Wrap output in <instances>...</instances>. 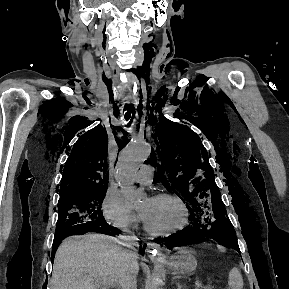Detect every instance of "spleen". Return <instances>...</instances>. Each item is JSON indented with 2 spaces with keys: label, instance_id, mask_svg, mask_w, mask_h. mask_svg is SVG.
Here are the masks:
<instances>
[{
  "label": "spleen",
  "instance_id": "1",
  "mask_svg": "<svg viewBox=\"0 0 289 289\" xmlns=\"http://www.w3.org/2000/svg\"><path fill=\"white\" fill-rule=\"evenodd\" d=\"M228 285L230 289H243V278L240 270L233 267L228 275Z\"/></svg>",
  "mask_w": 289,
  "mask_h": 289
}]
</instances>
